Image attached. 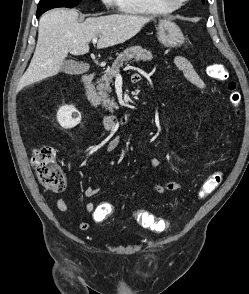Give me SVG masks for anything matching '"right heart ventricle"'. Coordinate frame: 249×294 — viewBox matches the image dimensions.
Here are the masks:
<instances>
[{
	"label": "right heart ventricle",
	"mask_w": 249,
	"mask_h": 294,
	"mask_svg": "<svg viewBox=\"0 0 249 294\" xmlns=\"http://www.w3.org/2000/svg\"><path fill=\"white\" fill-rule=\"evenodd\" d=\"M115 3L123 12L134 15H164L174 11L159 0H115Z\"/></svg>",
	"instance_id": "obj_1"
}]
</instances>
